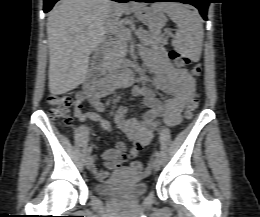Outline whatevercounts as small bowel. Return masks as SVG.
<instances>
[{
  "label": "small bowel",
  "instance_id": "1",
  "mask_svg": "<svg viewBox=\"0 0 260 217\" xmlns=\"http://www.w3.org/2000/svg\"><path fill=\"white\" fill-rule=\"evenodd\" d=\"M142 60L152 74L150 82H145L133 87L134 96L143 100L144 104L150 108L141 119H125L127 108L120 106L115 111V122L133 142L129 152H126L125 143L119 141L114 149L103 152L104 170L95 169L94 172L100 179H107L109 174L120 167H123L131 158L135 157L152 140L154 129L158 121L162 120L168 126H175L181 120V112L192 99L195 92V82L191 74L180 68H175L169 61L167 54L162 49L146 51L142 55ZM156 88L164 91L167 98L158 96ZM81 99L74 105V115L79 120L90 119L98 122L103 129L111 132L110 123L103 119L96 112L83 113L82 106L84 99L89 105L101 112L105 105L100 101L102 93L87 95L79 94Z\"/></svg>",
  "mask_w": 260,
  "mask_h": 217
}]
</instances>
